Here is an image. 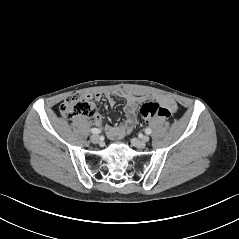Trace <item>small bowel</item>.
I'll return each mask as SVG.
<instances>
[{
    "instance_id": "c3829d8e",
    "label": "small bowel",
    "mask_w": 239,
    "mask_h": 239,
    "mask_svg": "<svg viewBox=\"0 0 239 239\" xmlns=\"http://www.w3.org/2000/svg\"><path fill=\"white\" fill-rule=\"evenodd\" d=\"M116 95L118 97L122 98L125 102L124 112L126 115V119H125L124 124L106 127V134H107L108 138H110L112 140L123 139L136 126V124H137V115H136L137 106H138V104H140L141 102H143L145 100L144 97H138V96H135L130 93L123 92V91H118L116 93ZM88 97L94 98L96 101H99L102 98H104V99H106V101L110 107L115 106L114 96L110 92L95 93L94 95H88ZM159 100L162 103V105L169 110L170 113L176 112L177 104L172 98L167 97V96H161V97H159ZM93 121L96 125H101V123H102L101 115L98 113H95L93 116Z\"/></svg>"
}]
</instances>
